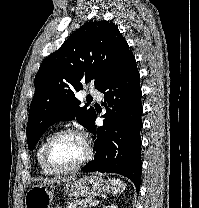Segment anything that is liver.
<instances>
[{"label": "liver", "instance_id": "liver-1", "mask_svg": "<svg viewBox=\"0 0 199 208\" xmlns=\"http://www.w3.org/2000/svg\"><path fill=\"white\" fill-rule=\"evenodd\" d=\"M74 177H68V178H61V179H44L43 180V185H51L54 183H61V182H66L70 180H74Z\"/></svg>", "mask_w": 199, "mask_h": 208}]
</instances>
